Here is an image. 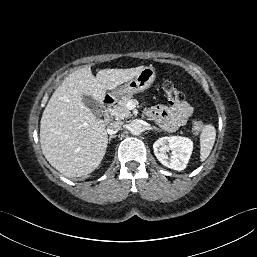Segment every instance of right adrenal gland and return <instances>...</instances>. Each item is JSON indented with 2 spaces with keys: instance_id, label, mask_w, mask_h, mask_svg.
Instances as JSON below:
<instances>
[{
  "instance_id": "2a0ac1e0",
  "label": "right adrenal gland",
  "mask_w": 257,
  "mask_h": 257,
  "mask_svg": "<svg viewBox=\"0 0 257 257\" xmlns=\"http://www.w3.org/2000/svg\"><path fill=\"white\" fill-rule=\"evenodd\" d=\"M116 136L112 135L109 137V142L111 141L112 138H115Z\"/></svg>"
}]
</instances>
